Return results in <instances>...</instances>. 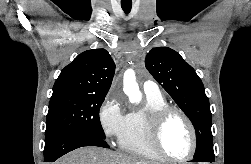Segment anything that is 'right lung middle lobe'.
I'll use <instances>...</instances> for the list:
<instances>
[{
    "label": "right lung middle lobe",
    "mask_w": 251,
    "mask_h": 164,
    "mask_svg": "<svg viewBox=\"0 0 251 164\" xmlns=\"http://www.w3.org/2000/svg\"><path fill=\"white\" fill-rule=\"evenodd\" d=\"M105 96L53 93L47 114L45 138L59 132H80L105 139L99 119V110Z\"/></svg>",
    "instance_id": "dd1d6c3e"
}]
</instances>
